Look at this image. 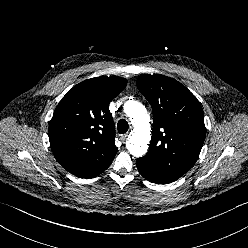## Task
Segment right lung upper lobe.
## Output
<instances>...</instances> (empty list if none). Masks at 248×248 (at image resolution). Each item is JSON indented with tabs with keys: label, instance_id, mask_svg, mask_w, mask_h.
<instances>
[{
	"label": "right lung upper lobe",
	"instance_id": "1",
	"mask_svg": "<svg viewBox=\"0 0 248 248\" xmlns=\"http://www.w3.org/2000/svg\"><path fill=\"white\" fill-rule=\"evenodd\" d=\"M121 77L100 76L74 86L49 123L52 152L60 165L81 178H93L112 163L115 127L109 103L126 87Z\"/></svg>",
	"mask_w": 248,
	"mask_h": 248
}]
</instances>
